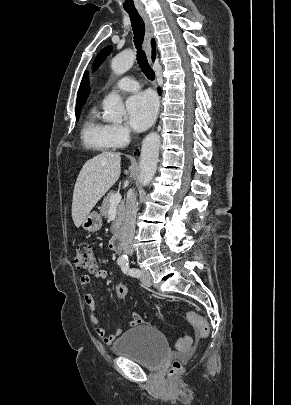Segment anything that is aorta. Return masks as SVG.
<instances>
[{
    "mask_svg": "<svg viewBox=\"0 0 291 405\" xmlns=\"http://www.w3.org/2000/svg\"><path fill=\"white\" fill-rule=\"evenodd\" d=\"M135 53L127 49L116 55L111 62L114 74L122 75L133 65ZM104 119L109 122L119 123L125 115L121 97L116 93L109 94L103 101ZM160 136L156 132L148 134L142 143L140 157V183L147 186L152 181L159 158ZM125 259V256H123Z\"/></svg>",
    "mask_w": 291,
    "mask_h": 405,
    "instance_id": "aorta-1",
    "label": "aorta"
}]
</instances>
